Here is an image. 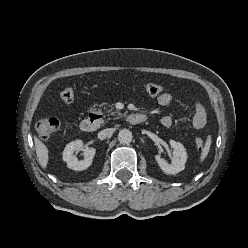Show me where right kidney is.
Masks as SVG:
<instances>
[{
    "mask_svg": "<svg viewBox=\"0 0 248 248\" xmlns=\"http://www.w3.org/2000/svg\"><path fill=\"white\" fill-rule=\"evenodd\" d=\"M83 150L84 160L79 161L74 152ZM96 150L92 147L84 146L81 140H76L70 142L66 145L63 151V160L67 163V167L76 170L82 171L86 170L92 164L93 158L95 156Z\"/></svg>",
    "mask_w": 248,
    "mask_h": 248,
    "instance_id": "obj_1",
    "label": "right kidney"
}]
</instances>
